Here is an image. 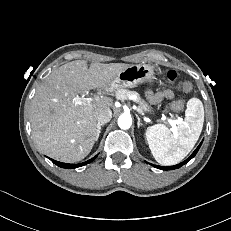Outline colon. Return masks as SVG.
<instances>
[{
  "label": "colon",
  "instance_id": "1",
  "mask_svg": "<svg viewBox=\"0 0 231 231\" xmlns=\"http://www.w3.org/2000/svg\"><path fill=\"white\" fill-rule=\"evenodd\" d=\"M166 79L170 83H175L177 81V73L174 70H169L164 72ZM177 88L182 92H189L192 89V85L189 81H179L177 83ZM184 102L182 100H175L172 102L170 109L174 112H179L183 109Z\"/></svg>",
  "mask_w": 231,
  "mask_h": 231
}]
</instances>
